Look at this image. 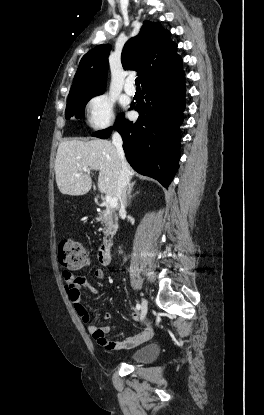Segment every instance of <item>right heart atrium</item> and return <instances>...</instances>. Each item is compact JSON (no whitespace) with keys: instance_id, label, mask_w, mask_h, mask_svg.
Returning <instances> with one entry per match:
<instances>
[{"instance_id":"obj_1","label":"right heart atrium","mask_w":264,"mask_h":415,"mask_svg":"<svg viewBox=\"0 0 264 415\" xmlns=\"http://www.w3.org/2000/svg\"><path fill=\"white\" fill-rule=\"evenodd\" d=\"M87 118L94 129H104L114 122V101L106 94L93 96L87 103Z\"/></svg>"}]
</instances>
